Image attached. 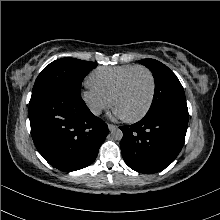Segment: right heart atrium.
Listing matches in <instances>:
<instances>
[{
  "label": "right heart atrium",
  "instance_id": "obj_1",
  "mask_svg": "<svg viewBox=\"0 0 220 220\" xmlns=\"http://www.w3.org/2000/svg\"><path fill=\"white\" fill-rule=\"evenodd\" d=\"M81 97L89 111L96 116H99L111 104L110 98L91 86L82 91Z\"/></svg>",
  "mask_w": 220,
  "mask_h": 220
}]
</instances>
